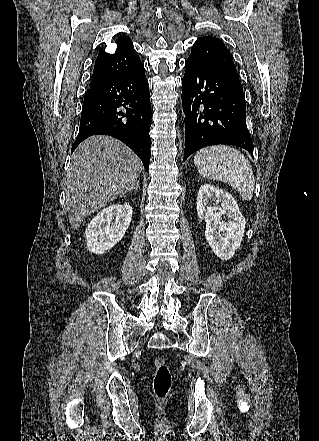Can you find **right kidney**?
I'll return each mask as SVG.
<instances>
[{
  "mask_svg": "<svg viewBox=\"0 0 319 441\" xmlns=\"http://www.w3.org/2000/svg\"><path fill=\"white\" fill-rule=\"evenodd\" d=\"M132 213V207L127 203L113 204L98 213L85 231L87 249L96 254L112 249L123 238Z\"/></svg>",
  "mask_w": 319,
  "mask_h": 441,
  "instance_id": "obj_1",
  "label": "right kidney"
}]
</instances>
